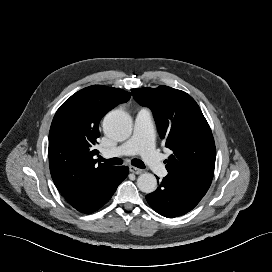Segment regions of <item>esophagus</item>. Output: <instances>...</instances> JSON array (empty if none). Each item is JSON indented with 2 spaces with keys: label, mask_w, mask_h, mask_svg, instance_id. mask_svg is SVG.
Segmentation results:
<instances>
[{
  "label": "esophagus",
  "mask_w": 272,
  "mask_h": 272,
  "mask_svg": "<svg viewBox=\"0 0 272 272\" xmlns=\"http://www.w3.org/2000/svg\"><path fill=\"white\" fill-rule=\"evenodd\" d=\"M129 170L130 172L134 173V174H142L143 173V170L142 169H139V168H136L134 166H130L129 167Z\"/></svg>",
  "instance_id": "obj_1"
}]
</instances>
